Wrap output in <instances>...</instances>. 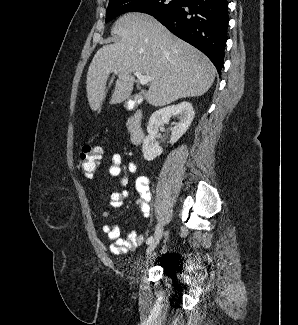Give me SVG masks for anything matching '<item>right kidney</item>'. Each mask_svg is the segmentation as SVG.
<instances>
[{"label": "right kidney", "mask_w": 298, "mask_h": 325, "mask_svg": "<svg viewBox=\"0 0 298 325\" xmlns=\"http://www.w3.org/2000/svg\"><path fill=\"white\" fill-rule=\"evenodd\" d=\"M171 116H178L179 118L178 122H172L175 126L171 128L170 142L174 144V142H177L178 138L186 132L195 116L191 102L183 100V102H179V104H171V106L159 108V110H155V112L151 114L147 124L148 134L146 138H144L142 144V152L146 160H153V158H156V156H159V154L163 152V148L159 146L157 140L159 136V126H161V124H167V122L171 120Z\"/></svg>", "instance_id": "ca27d5eb"}]
</instances>
